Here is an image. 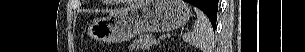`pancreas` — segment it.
<instances>
[{
	"label": "pancreas",
	"mask_w": 305,
	"mask_h": 52,
	"mask_svg": "<svg viewBox=\"0 0 305 52\" xmlns=\"http://www.w3.org/2000/svg\"><path fill=\"white\" fill-rule=\"evenodd\" d=\"M159 40H156L154 35H142L134 41L132 45L129 46V49H148L152 45H157Z\"/></svg>",
	"instance_id": "1"
}]
</instances>
